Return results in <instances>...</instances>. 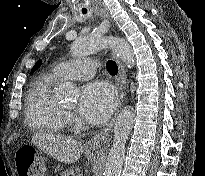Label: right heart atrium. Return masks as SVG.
<instances>
[{
	"instance_id": "d8ad5b80",
	"label": "right heart atrium",
	"mask_w": 205,
	"mask_h": 176,
	"mask_svg": "<svg viewBox=\"0 0 205 176\" xmlns=\"http://www.w3.org/2000/svg\"><path fill=\"white\" fill-rule=\"evenodd\" d=\"M67 118H68V119H72L73 116H72L70 113H67Z\"/></svg>"
}]
</instances>
